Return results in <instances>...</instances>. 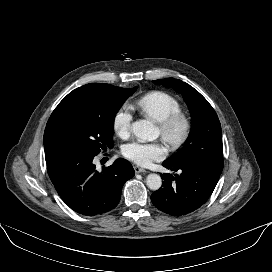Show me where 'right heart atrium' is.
<instances>
[{
	"label": "right heart atrium",
	"instance_id": "d8ad5b80",
	"mask_svg": "<svg viewBox=\"0 0 272 272\" xmlns=\"http://www.w3.org/2000/svg\"><path fill=\"white\" fill-rule=\"evenodd\" d=\"M113 128L121 138H127L132 128V114L127 107H121L113 117Z\"/></svg>",
	"mask_w": 272,
	"mask_h": 272
}]
</instances>
